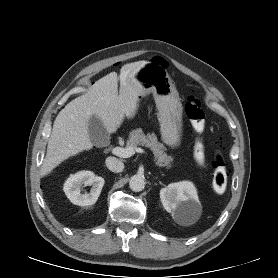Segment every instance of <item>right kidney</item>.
<instances>
[{
  "label": "right kidney",
  "instance_id": "ca27d5eb",
  "mask_svg": "<svg viewBox=\"0 0 278 278\" xmlns=\"http://www.w3.org/2000/svg\"><path fill=\"white\" fill-rule=\"evenodd\" d=\"M104 183V178L96 176L93 172L80 171L66 180L63 190L73 204L88 206L96 203ZM83 185L92 186L90 193L81 192Z\"/></svg>",
  "mask_w": 278,
  "mask_h": 278
}]
</instances>
